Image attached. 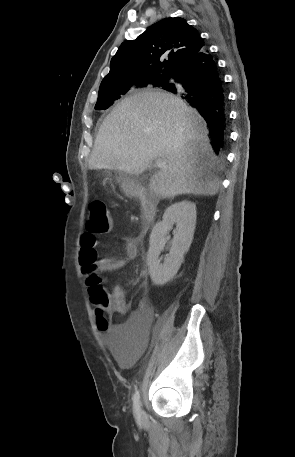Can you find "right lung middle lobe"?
<instances>
[{"mask_svg": "<svg viewBox=\"0 0 295 457\" xmlns=\"http://www.w3.org/2000/svg\"><path fill=\"white\" fill-rule=\"evenodd\" d=\"M171 78H172V76L150 78L144 82L139 83L138 86H146V85L150 84L155 87H161L162 89H166L170 85ZM138 86H135V87H138ZM135 87L100 91L99 95H98L97 103L95 105V109L96 110L107 109L122 95L126 94L129 90H131L132 88H135Z\"/></svg>", "mask_w": 295, "mask_h": 457, "instance_id": "1", "label": "right lung middle lobe"}]
</instances>
